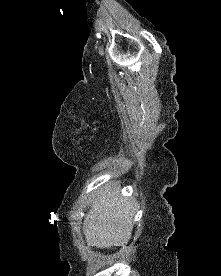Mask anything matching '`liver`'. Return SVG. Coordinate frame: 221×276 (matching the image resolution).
I'll list each match as a JSON object with an SVG mask.
<instances>
[{"label":"liver","instance_id":"6515ba94","mask_svg":"<svg viewBox=\"0 0 221 276\" xmlns=\"http://www.w3.org/2000/svg\"><path fill=\"white\" fill-rule=\"evenodd\" d=\"M135 212L134 201L105 186L84 218L87 245L100 249L126 245L131 238Z\"/></svg>","mask_w":221,"mask_h":276}]
</instances>
